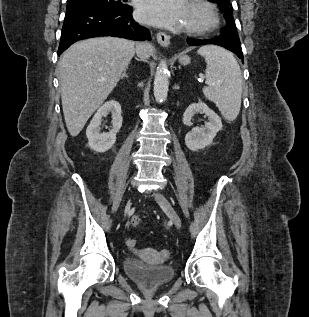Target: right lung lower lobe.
<instances>
[{"label": "right lung lower lobe", "mask_w": 309, "mask_h": 317, "mask_svg": "<svg viewBox=\"0 0 309 317\" xmlns=\"http://www.w3.org/2000/svg\"><path fill=\"white\" fill-rule=\"evenodd\" d=\"M132 7L109 8L81 2H68L58 55L76 41L114 36L132 40H151L147 28L132 17Z\"/></svg>", "instance_id": "obj_1"}]
</instances>
